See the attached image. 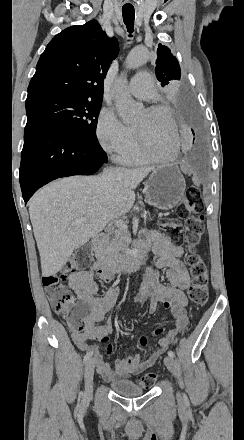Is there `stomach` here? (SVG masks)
Here are the masks:
<instances>
[{"label":"stomach","mask_w":244,"mask_h":440,"mask_svg":"<svg viewBox=\"0 0 244 440\" xmlns=\"http://www.w3.org/2000/svg\"><path fill=\"white\" fill-rule=\"evenodd\" d=\"M185 190V178L178 166L167 164L153 170L145 184L144 194L151 206L172 210L181 202Z\"/></svg>","instance_id":"stomach-1"}]
</instances>
